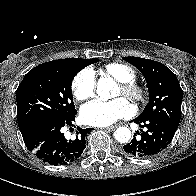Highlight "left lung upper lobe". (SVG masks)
<instances>
[{
  "label": "left lung upper lobe",
  "instance_id": "5c2ea615",
  "mask_svg": "<svg viewBox=\"0 0 196 196\" xmlns=\"http://www.w3.org/2000/svg\"><path fill=\"white\" fill-rule=\"evenodd\" d=\"M123 59L139 69L147 82L149 103L138 118H160L177 128L181 118L183 91L175 74L157 61L139 57Z\"/></svg>",
  "mask_w": 196,
  "mask_h": 196
}]
</instances>
